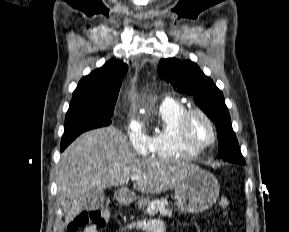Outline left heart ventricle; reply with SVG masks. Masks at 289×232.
Returning a JSON list of instances; mask_svg holds the SVG:
<instances>
[{"label":"left heart ventricle","mask_w":289,"mask_h":232,"mask_svg":"<svg viewBox=\"0 0 289 232\" xmlns=\"http://www.w3.org/2000/svg\"><path fill=\"white\" fill-rule=\"evenodd\" d=\"M189 137L196 144H205L211 139V130L200 116H194L189 123Z\"/></svg>","instance_id":"1"}]
</instances>
